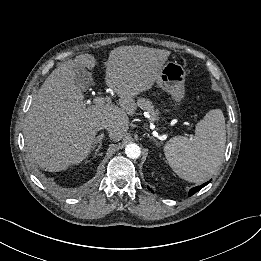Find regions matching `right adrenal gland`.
<instances>
[{"label":"right adrenal gland","instance_id":"right-adrenal-gland-1","mask_svg":"<svg viewBox=\"0 0 261 261\" xmlns=\"http://www.w3.org/2000/svg\"><path fill=\"white\" fill-rule=\"evenodd\" d=\"M103 137H104V133L97 136L96 139L93 142L92 149L94 150L97 147V149L95 150V153H94V157H96L98 155V152H99V150L102 146Z\"/></svg>","mask_w":261,"mask_h":261}]
</instances>
